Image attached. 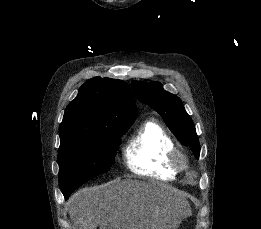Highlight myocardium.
Here are the masks:
<instances>
[{"label": "myocardium", "mask_w": 261, "mask_h": 229, "mask_svg": "<svg viewBox=\"0 0 261 229\" xmlns=\"http://www.w3.org/2000/svg\"><path fill=\"white\" fill-rule=\"evenodd\" d=\"M170 164L176 171H183L186 169L188 165V159L184 151L174 147L171 152Z\"/></svg>", "instance_id": "obj_1"}]
</instances>
